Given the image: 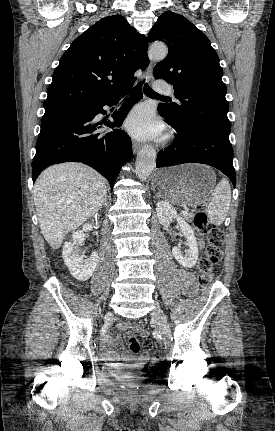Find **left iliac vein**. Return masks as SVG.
I'll return each mask as SVG.
<instances>
[{
  "mask_svg": "<svg viewBox=\"0 0 275 431\" xmlns=\"http://www.w3.org/2000/svg\"><path fill=\"white\" fill-rule=\"evenodd\" d=\"M152 319L156 322L157 328L161 333L163 343L168 345L170 342L171 331L167 322V317L159 305H155L151 312Z\"/></svg>",
  "mask_w": 275,
  "mask_h": 431,
  "instance_id": "obj_1",
  "label": "left iliac vein"
}]
</instances>
